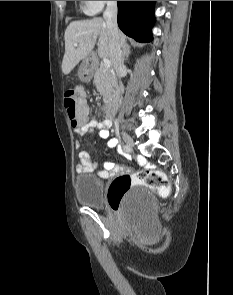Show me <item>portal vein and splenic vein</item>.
Instances as JSON below:
<instances>
[{
	"label": "portal vein and splenic vein",
	"mask_w": 233,
	"mask_h": 295,
	"mask_svg": "<svg viewBox=\"0 0 233 295\" xmlns=\"http://www.w3.org/2000/svg\"><path fill=\"white\" fill-rule=\"evenodd\" d=\"M75 46L77 47L78 45L75 44ZM103 66L106 68V69H109L110 66H111V61L107 58H103Z\"/></svg>",
	"instance_id": "obj_1"
}]
</instances>
